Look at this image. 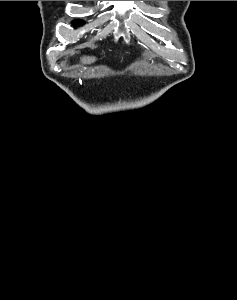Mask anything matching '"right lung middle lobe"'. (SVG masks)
<instances>
[{"label":"right lung middle lobe","instance_id":"obj_1","mask_svg":"<svg viewBox=\"0 0 237 300\" xmlns=\"http://www.w3.org/2000/svg\"><path fill=\"white\" fill-rule=\"evenodd\" d=\"M73 24L74 25H82L83 21L82 20H75V21H73Z\"/></svg>","mask_w":237,"mask_h":300}]
</instances>
